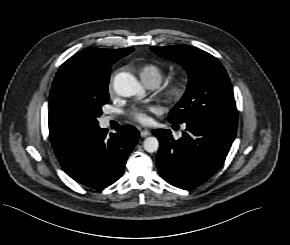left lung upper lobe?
I'll return each instance as SVG.
<instances>
[{"label":"left lung upper lobe","mask_w":290,"mask_h":245,"mask_svg":"<svg viewBox=\"0 0 290 245\" xmlns=\"http://www.w3.org/2000/svg\"><path fill=\"white\" fill-rule=\"evenodd\" d=\"M162 58L181 64L189 83L180 102L170 111L168 121L183 123L203 116L220 124L237 127V109L230 79L217 58L188 45L150 48Z\"/></svg>","instance_id":"1"}]
</instances>
